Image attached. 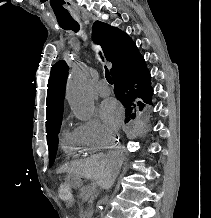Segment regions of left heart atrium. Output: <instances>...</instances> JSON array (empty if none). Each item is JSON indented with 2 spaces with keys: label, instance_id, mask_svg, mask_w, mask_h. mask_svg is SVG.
Wrapping results in <instances>:
<instances>
[{
  "label": "left heart atrium",
  "instance_id": "obj_1",
  "mask_svg": "<svg viewBox=\"0 0 211 218\" xmlns=\"http://www.w3.org/2000/svg\"><path fill=\"white\" fill-rule=\"evenodd\" d=\"M100 114L105 123L115 130L122 117L121 109L114 99L105 100L100 107Z\"/></svg>",
  "mask_w": 211,
  "mask_h": 218
}]
</instances>
